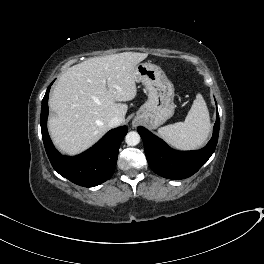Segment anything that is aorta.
<instances>
[{"instance_id":"1","label":"aorta","mask_w":264,"mask_h":264,"mask_svg":"<svg viewBox=\"0 0 264 264\" xmlns=\"http://www.w3.org/2000/svg\"><path fill=\"white\" fill-rule=\"evenodd\" d=\"M125 141L129 146H136L140 142V135L135 131L128 132Z\"/></svg>"}]
</instances>
